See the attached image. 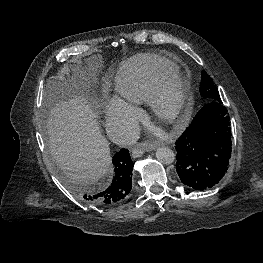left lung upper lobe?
<instances>
[{
    "label": "left lung upper lobe",
    "instance_id": "left-lung-upper-lobe-1",
    "mask_svg": "<svg viewBox=\"0 0 263 263\" xmlns=\"http://www.w3.org/2000/svg\"><path fill=\"white\" fill-rule=\"evenodd\" d=\"M199 90L201 96L207 98L209 101L222 102L216 86L206 71L202 72Z\"/></svg>",
    "mask_w": 263,
    "mask_h": 263
}]
</instances>
